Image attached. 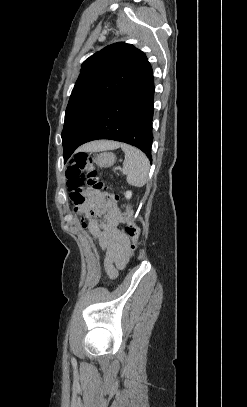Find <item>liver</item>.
Returning a JSON list of instances; mask_svg holds the SVG:
<instances>
[{
    "label": "liver",
    "instance_id": "6515ba94",
    "mask_svg": "<svg viewBox=\"0 0 247 407\" xmlns=\"http://www.w3.org/2000/svg\"><path fill=\"white\" fill-rule=\"evenodd\" d=\"M121 144L114 141H97L84 145L81 149L84 151H102L118 148Z\"/></svg>",
    "mask_w": 247,
    "mask_h": 407
}]
</instances>
